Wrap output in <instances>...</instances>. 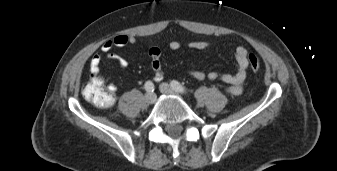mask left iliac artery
Segmentation results:
<instances>
[{"label":"left iliac artery","instance_id":"obj_1","mask_svg":"<svg viewBox=\"0 0 337 171\" xmlns=\"http://www.w3.org/2000/svg\"><path fill=\"white\" fill-rule=\"evenodd\" d=\"M171 86L175 91H177L179 93H182V94L187 93L186 89L178 81L173 80L171 82Z\"/></svg>","mask_w":337,"mask_h":171}]
</instances>
